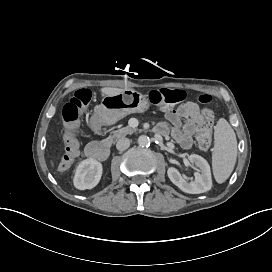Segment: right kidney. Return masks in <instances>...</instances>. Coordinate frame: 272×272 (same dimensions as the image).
Wrapping results in <instances>:
<instances>
[{
  "mask_svg": "<svg viewBox=\"0 0 272 272\" xmlns=\"http://www.w3.org/2000/svg\"><path fill=\"white\" fill-rule=\"evenodd\" d=\"M101 176L102 164L89 158L77 166L73 183L79 190L92 189L99 183Z\"/></svg>",
  "mask_w": 272,
  "mask_h": 272,
  "instance_id": "right-kidney-1",
  "label": "right kidney"
}]
</instances>
